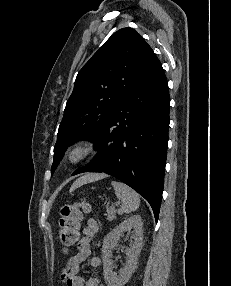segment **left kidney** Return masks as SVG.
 Instances as JSON below:
<instances>
[{"instance_id": "5707ae66", "label": "left kidney", "mask_w": 231, "mask_h": 286, "mask_svg": "<svg viewBox=\"0 0 231 286\" xmlns=\"http://www.w3.org/2000/svg\"><path fill=\"white\" fill-rule=\"evenodd\" d=\"M143 222L140 215H133L106 235L102 247L103 275L107 286H124L137 267L138 256L143 244ZM133 230L130 247L125 249L127 261L118 273L113 272L112 250L124 231Z\"/></svg>"}]
</instances>
